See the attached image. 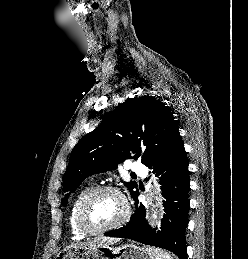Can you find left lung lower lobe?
I'll return each instance as SVG.
<instances>
[{"instance_id":"1","label":"left lung lower lobe","mask_w":248,"mask_h":259,"mask_svg":"<svg viewBox=\"0 0 248 259\" xmlns=\"http://www.w3.org/2000/svg\"><path fill=\"white\" fill-rule=\"evenodd\" d=\"M150 169L160 176L162 195L165 198L164 218L161 229L155 231L145 219V207L139 203L138 190L133 194L137 210L129 223L119 229L105 233L106 236L135 240L146 245L164 248L187 259L185 230L188 225L190 202L188 192V161L182 140L158 157Z\"/></svg>"}]
</instances>
